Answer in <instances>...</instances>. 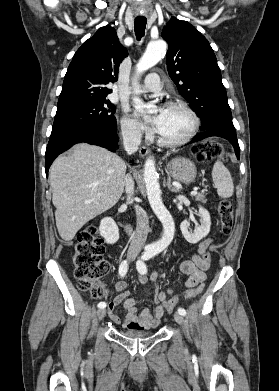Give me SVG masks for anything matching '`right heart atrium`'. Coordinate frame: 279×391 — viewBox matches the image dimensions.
Listing matches in <instances>:
<instances>
[{"label":"right heart atrium","mask_w":279,"mask_h":391,"mask_svg":"<svg viewBox=\"0 0 279 391\" xmlns=\"http://www.w3.org/2000/svg\"><path fill=\"white\" fill-rule=\"evenodd\" d=\"M121 130L124 137L130 141H138L147 133L146 127L128 113L121 118Z\"/></svg>","instance_id":"1"}]
</instances>
